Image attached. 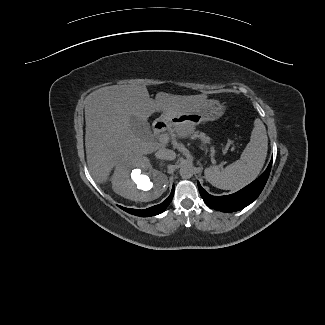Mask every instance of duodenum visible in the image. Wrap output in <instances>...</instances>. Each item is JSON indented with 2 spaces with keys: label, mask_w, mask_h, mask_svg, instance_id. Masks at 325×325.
<instances>
[{
  "label": "duodenum",
  "mask_w": 325,
  "mask_h": 325,
  "mask_svg": "<svg viewBox=\"0 0 325 325\" xmlns=\"http://www.w3.org/2000/svg\"><path fill=\"white\" fill-rule=\"evenodd\" d=\"M166 128V123L162 121H158L153 124L152 131L154 135H159L161 132H163Z\"/></svg>",
  "instance_id": "duodenum-1"
}]
</instances>
